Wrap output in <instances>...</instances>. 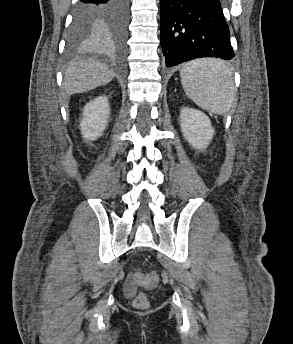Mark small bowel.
<instances>
[{
    "label": "small bowel",
    "mask_w": 293,
    "mask_h": 344,
    "mask_svg": "<svg viewBox=\"0 0 293 344\" xmlns=\"http://www.w3.org/2000/svg\"><path fill=\"white\" fill-rule=\"evenodd\" d=\"M135 291H136V285L134 281L131 279V276H129L124 286V292L127 296H132L135 293Z\"/></svg>",
    "instance_id": "small-bowel-1"
}]
</instances>
